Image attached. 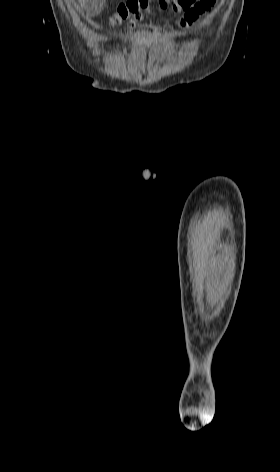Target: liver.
Listing matches in <instances>:
<instances>
[{"label":"liver","mask_w":280,"mask_h":472,"mask_svg":"<svg viewBox=\"0 0 280 472\" xmlns=\"http://www.w3.org/2000/svg\"><path fill=\"white\" fill-rule=\"evenodd\" d=\"M79 3L81 4L82 7H84L86 4V0H79Z\"/></svg>","instance_id":"6515ba94"}]
</instances>
